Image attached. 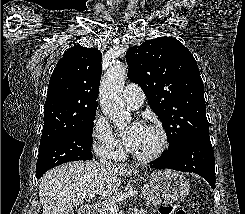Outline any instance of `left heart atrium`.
<instances>
[{
    "instance_id": "1",
    "label": "left heart atrium",
    "mask_w": 245,
    "mask_h": 214,
    "mask_svg": "<svg viewBox=\"0 0 245 214\" xmlns=\"http://www.w3.org/2000/svg\"><path fill=\"white\" fill-rule=\"evenodd\" d=\"M142 129L143 125L135 122L123 133V140L128 148L132 146Z\"/></svg>"
}]
</instances>
